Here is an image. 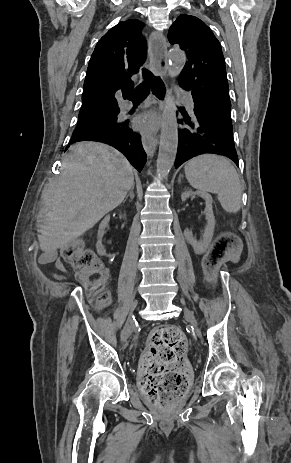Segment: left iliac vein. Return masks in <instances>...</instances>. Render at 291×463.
<instances>
[{"label":"left iliac vein","mask_w":291,"mask_h":463,"mask_svg":"<svg viewBox=\"0 0 291 463\" xmlns=\"http://www.w3.org/2000/svg\"><path fill=\"white\" fill-rule=\"evenodd\" d=\"M185 318L197 329V321L194 314L186 307H184Z\"/></svg>","instance_id":"left-iliac-vein-1"}]
</instances>
